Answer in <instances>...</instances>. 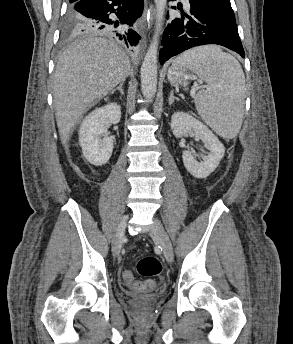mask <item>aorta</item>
I'll use <instances>...</instances> for the list:
<instances>
[{"label": "aorta", "mask_w": 293, "mask_h": 344, "mask_svg": "<svg viewBox=\"0 0 293 344\" xmlns=\"http://www.w3.org/2000/svg\"><path fill=\"white\" fill-rule=\"evenodd\" d=\"M167 0H155L156 30L140 70L141 91L146 99H152L157 90V54Z\"/></svg>", "instance_id": "1"}]
</instances>
